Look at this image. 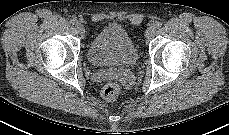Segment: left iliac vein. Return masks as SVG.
Segmentation results:
<instances>
[{
	"label": "left iliac vein",
	"mask_w": 229,
	"mask_h": 135,
	"mask_svg": "<svg viewBox=\"0 0 229 135\" xmlns=\"http://www.w3.org/2000/svg\"><path fill=\"white\" fill-rule=\"evenodd\" d=\"M155 32H156L155 26L148 27L146 32H145L146 38H148V39L152 38L154 36Z\"/></svg>",
	"instance_id": "4c4485c4"
}]
</instances>
